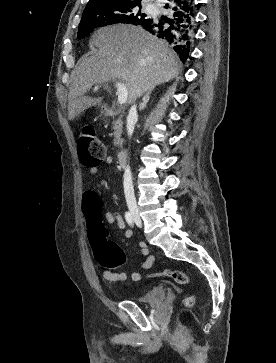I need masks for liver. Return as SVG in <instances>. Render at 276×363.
Returning a JSON list of instances; mask_svg holds the SVG:
<instances>
[{"instance_id": "1", "label": "liver", "mask_w": 276, "mask_h": 363, "mask_svg": "<svg viewBox=\"0 0 276 363\" xmlns=\"http://www.w3.org/2000/svg\"><path fill=\"white\" fill-rule=\"evenodd\" d=\"M90 45L98 50L82 57L73 71L69 91L68 119L100 104L101 97L85 94L95 84L118 79L125 83L128 101L177 77L181 65L168 44L140 26L113 25L99 29Z\"/></svg>"}]
</instances>
